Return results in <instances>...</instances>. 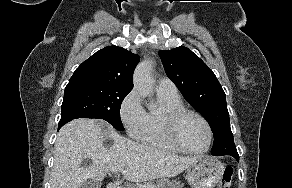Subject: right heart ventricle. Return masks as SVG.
<instances>
[{"instance_id":"obj_1","label":"right heart ventricle","mask_w":292,"mask_h":188,"mask_svg":"<svg viewBox=\"0 0 292 188\" xmlns=\"http://www.w3.org/2000/svg\"><path fill=\"white\" fill-rule=\"evenodd\" d=\"M158 99L162 109L160 111H149L146 115V123L144 129L140 133L138 139L145 145L153 146L170 151H178V149L167 138L163 125L162 116L168 110L182 108L183 103L178 96H169L158 93Z\"/></svg>"}]
</instances>
